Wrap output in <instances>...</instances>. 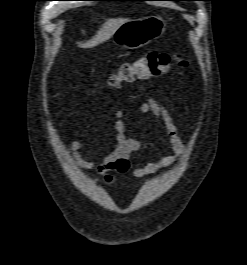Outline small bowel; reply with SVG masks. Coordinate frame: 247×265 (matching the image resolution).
<instances>
[{
	"mask_svg": "<svg viewBox=\"0 0 247 265\" xmlns=\"http://www.w3.org/2000/svg\"><path fill=\"white\" fill-rule=\"evenodd\" d=\"M142 92L144 93V90H142ZM139 111L142 114H150L156 124H158L159 121L162 122L172 146L173 152L171 154L161 157L158 161L148 162L142 167L131 170L129 157L133 152L143 147V142L128 134L126 125L122 119V110L116 111L115 120L110 131L99 140V142H102L110 136H114L116 140L114 149L101 161L86 160L82 155L84 149V144L82 142L74 141L71 144V153L75 162L82 168L94 170L96 175L106 186H117L120 182L118 177L109 174L112 171H116L120 174L131 172L133 177L141 178L155 174L159 170L169 167L185 152L183 141L178 135L169 110L165 106L161 105L155 98L146 95V99L140 105Z\"/></svg>",
	"mask_w": 247,
	"mask_h": 265,
	"instance_id": "c3829d8e",
	"label": "small bowel"
}]
</instances>
